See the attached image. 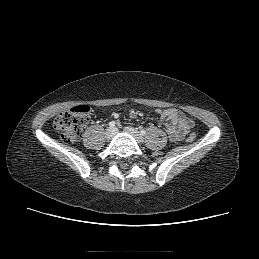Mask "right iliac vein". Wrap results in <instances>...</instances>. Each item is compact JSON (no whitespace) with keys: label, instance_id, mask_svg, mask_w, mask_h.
<instances>
[{"label":"right iliac vein","instance_id":"63e3f726","mask_svg":"<svg viewBox=\"0 0 259 259\" xmlns=\"http://www.w3.org/2000/svg\"><path fill=\"white\" fill-rule=\"evenodd\" d=\"M115 134H116L115 128H108L105 132V137L106 139L110 140L114 137Z\"/></svg>","mask_w":259,"mask_h":259}]
</instances>
